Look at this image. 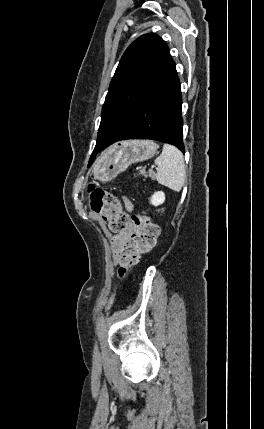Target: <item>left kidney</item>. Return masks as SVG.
Returning a JSON list of instances; mask_svg holds the SVG:
<instances>
[{
  "label": "left kidney",
  "instance_id": "obj_1",
  "mask_svg": "<svg viewBox=\"0 0 264 429\" xmlns=\"http://www.w3.org/2000/svg\"><path fill=\"white\" fill-rule=\"evenodd\" d=\"M165 201V194L162 191L155 192L151 197V204L154 206H159Z\"/></svg>",
  "mask_w": 264,
  "mask_h": 429
}]
</instances>
